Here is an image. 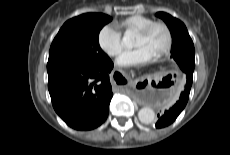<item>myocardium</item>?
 Returning <instances> with one entry per match:
<instances>
[{
	"label": "myocardium",
	"mask_w": 230,
	"mask_h": 155,
	"mask_svg": "<svg viewBox=\"0 0 230 155\" xmlns=\"http://www.w3.org/2000/svg\"><path fill=\"white\" fill-rule=\"evenodd\" d=\"M156 27L163 28L166 32V35H167V42H166L165 47L163 48V50L159 54H157L155 56V59H160V58H163V57L167 56L168 54H170L172 47H173L174 38H173V33H172L170 26L163 21H154V22L150 23L149 25H147L146 27H144L143 29H141L140 31H138L137 35L142 36V37H146Z\"/></svg>",
	"instance_id": "myocardium-1"
}]
</instances>
